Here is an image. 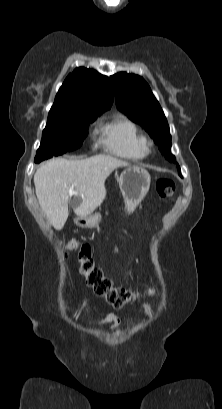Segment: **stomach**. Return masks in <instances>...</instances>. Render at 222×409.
<instances>
[{
  "mask_svg": "<svg viewBox=\"0 0 222 409\" xmlns=\"http://www.w3.org/2000/svg\"><path fill=\"white\" fill-rule=\"evenodd\" d=\"M151 177L147 170L139 166H128L120 175L119 187L124 198L125 210L128 214L133 212L143 200L150 188ZM100 216L77 215L74 223L81 228H93L98 225Z\"/></svg>",
  "mask_w": 222,
  "mask_h": 409,
  "instance_id": "1",
  "label": "stomach"
}]
</instances>
